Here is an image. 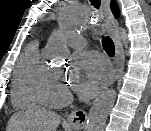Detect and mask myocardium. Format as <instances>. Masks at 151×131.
<instances>
[{
    "instance_id": "myocardium-1",
    "label": "myocardium",
    "mask_w": 151,
    "mask_h": 131,
    "mask_svg": "<svg viewBox=\"0 0 151 131\" xmlns=\"http://www.w3.org/2000/svg\"><path fill=\"white\" fill-rule=\"evenodd\" d=\"M55 74V70L51 68L45 72L40 82V93L44 103L51 106H63L72 101V95L67 89L61 92H54L52 90L51 82Z\"/></svg>"
}]
</instances>
